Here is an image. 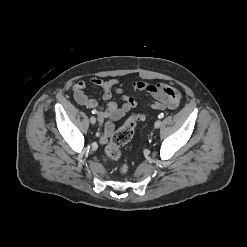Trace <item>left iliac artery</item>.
<instances>
[{
	"instance_id": "1",
	"label": "left iliac artery",
	"mask_w": 247,
	"mask_h": 247,
	"mask_svg": "<svg viewBox=\"0 0 247 247\" xmlns=\"http://www.w3.org/2000/svg\"><path fill=\"white\" fill-rule=\"evenodd\" d=\"M164 117V114L163 113H161V114H159V116H158V118H163Z\"/></svg>"
}]
</instances>
